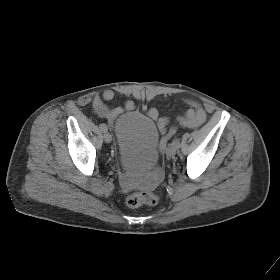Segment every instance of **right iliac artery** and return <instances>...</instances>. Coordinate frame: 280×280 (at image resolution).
I'll return each instance as SVG.
<instances>
[{
	"mask_svg": "<svg viewBox=\"0 0 280 280\" xmlns=\"http://www.w3.org/2000/svg\"><path fill=\"white\" fill-rule=\"evenodd\" d=\"M99 128H100V130L103 131V132H106V131H107V126H106V124H100Z\"/></svg>",
	"mask_w": 280,
	"mask_h": 280,
	"instance_id": "1",
	"label": "right iliac artery"
}]
</instances>
